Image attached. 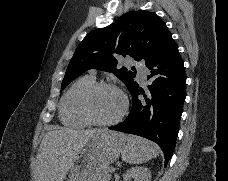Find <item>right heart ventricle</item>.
<instances>
[{
  "mask_svg": "<svg viewBox=\"0 0 228 181\" xmlns=\"http://www.w3.org/2000/svg\"><path fill=\"white\" fill-rule=\"evenodd\" d=\"M95 83L93 76H82L68 90L61 108L63 123L73 126H86L89 122L82 116L79 102L83 93Z\"/></svg>",
  "mask_w": 228,
  "mask_h": 181,
  "instance_id": "obj_1",
  "label": "right heart ventricle"
}]
</instances>
